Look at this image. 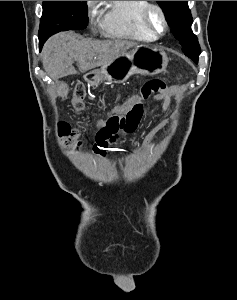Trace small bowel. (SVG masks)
Returning <instances> with one entry per match:
<instances>
[{"label": "small bowel", "instance_id": "obj_1", "mask_svg": "<svg viewBox=\"0 0 237 300\" xmlns=\"http://www.w3.org/2000/svg\"><path fill=\"white\" fill-rule=\"evenodd\" d=\"M181 91V88L179 86H171L169 87L163 94H161L159 97H157L158 99H160L162 101V106H161V110L165 111L168 109L169 104H170V100L173 96H176L177 94H179ZM139 98L138 93L135 94L132 98L129 99V101H127L125 104L118 106L116 108H114L110 114L108 115V117L106 119H101L97 122V128L98 130L103 127L107 121V119L113 115H119L122 113H126L132 106V104ZM96 153L101 154V155H106V151H98L95 150Z\"/></svg>", "mask_w": 237, "mask_h": 300}]
</instances>
